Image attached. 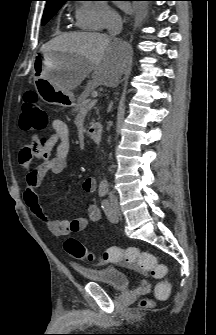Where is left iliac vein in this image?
Listing matches in <instances>:
<instances>
[{"label":"left iliac vein","instance_id":"obj_1","mask_svg":"<svg viewBox=\"0 0 216 335\" xmlns=\"http://www.w3.org/2000/svg\"><path fill=\"white\" fill-rule=\"evenodd\" d=\"M111 209L114 214V219L113 222H118L119 221V216H120V209L117 200H112L111 201Z\"/></svg>","mask_w":216,"mask_h":335}]
</instances>
